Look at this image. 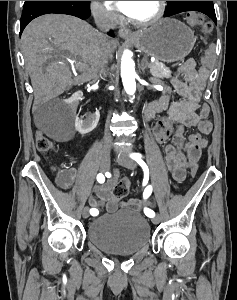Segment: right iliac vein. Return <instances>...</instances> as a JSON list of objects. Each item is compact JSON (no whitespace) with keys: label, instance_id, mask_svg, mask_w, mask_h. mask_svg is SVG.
<instances>
[{"label":"right iliac vein","instance_id":"63e3f726","mask_svg":"<svg viewBox=\"0 0 237 300\" xmlns=\"http://www.w3.org/2000/svg\"><path fill=\"white\" fill-rule=\"evenodd\" d=\"M110 164H111V158H110L109 151H107L101 158L100 171L101 172L108 171V169L110 168ZM82 216L83 218L89 217V207H85L83 209Z\"/></svg>","mask_w":237,"mask_h":300}]
</instances>
